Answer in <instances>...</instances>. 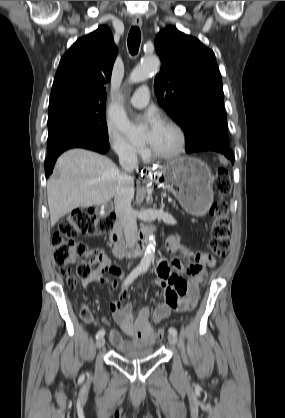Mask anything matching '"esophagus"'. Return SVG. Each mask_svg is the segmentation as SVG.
<instances>
[{
	"label": "esophagus",
	"mask_w": 285,
	"mask_h": 418,
	"mask_svg": "<svg viewBox=\"0 0 285 418\" xmlns=\"http://www.w3.org/2000/svg\"><path fill=\"white\" fill-rule=\"evenodd\" d=\"M132 24L134 26L140 27L142 25V19H141V17L140 16H135L134 19H133V21H132ZM146 170L151 171L152 170V167L151 166H148V167H146Z\"/></svg>",
	"instance_id": "obj_1"
}]
</instances>
